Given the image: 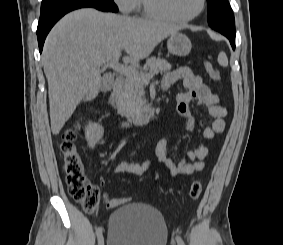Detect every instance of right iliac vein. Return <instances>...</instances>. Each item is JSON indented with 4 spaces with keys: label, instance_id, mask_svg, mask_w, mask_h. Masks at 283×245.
Returning <instances> with one entry per match:
<instances>
[{
    "label": "right iliac vein",
    "instance_id": "63e3f726",
    "mask_svg": "<svg viewBox=\"0 0 283 245\" xmlns=\"http://www.w3.org/2000/svg\"><path fill=\"white\" fill-rule=\"evenodd\" d=\"M98 245H104V238L102 235L98 238Z\"/></svg>",
    "mask_w": 283,
    "mask_h": 245
}]
</instances>
